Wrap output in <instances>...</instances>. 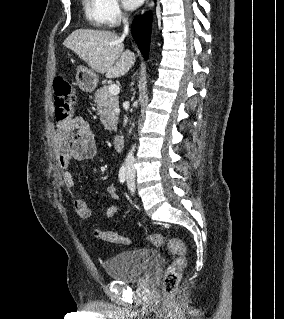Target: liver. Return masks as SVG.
Here are the masks:
<instances>
[{
    "instance_id": "obj_1",
    "label": "liver",
    "mask_w": 284,
    "mask_h": 319,
    "mask_svg": "<svg viewBox=\"0 0 284 319\" xmlns=\"http://www.w3.org/2000/svg\"><path fill=\"white\" fill-rule=\"evenodd\" d=\"M63 45L74 51L88 66L107 78L126 74L136 57L130 50L124 51L123 37L105 30L76 29Z\"/></svg>"
}]
</instances>
